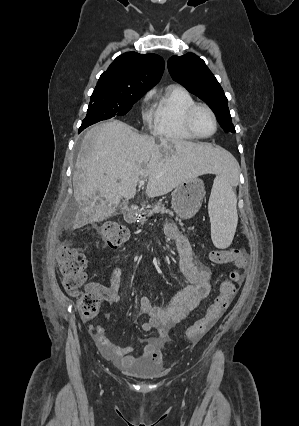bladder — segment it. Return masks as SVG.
Returning a JSON list of instances; mask_svg holds the SVG:
<instances>
[{
  "instance_id": "obj_1",
  "label": "bladder",
  "mask_w": 299,
  "mask_h": 426,
  "mask_svg": "<svg viewBox=\"0 0 299 426\" xmlns=\"http://www.w3.org/2000/svg\"><path fill=\"white\" fill-rule=\"evenodd\" d=\"M128 375L142 380H154L165 374V369L160 365L140 364L133 367L124 368Z\"/></svg>"
}]
</instances>
